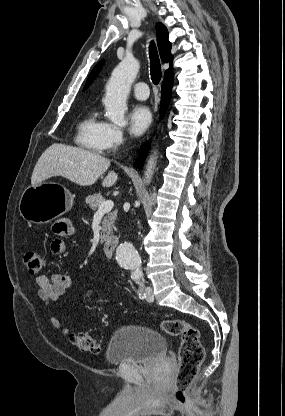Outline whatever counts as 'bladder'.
Listing matches in <instances>:
<instances>
[{"mask_svg": "<svg viewBox=\"0 0 285 416\" xmlns=\"http://www.w3.org/2000/svg\"><path fill=\"white\" fill-rule=\"evenodd\" d=\"M167 355L166 337L150 327L124 325L111 336L106 358L108 363H153Z\"/></svg>", "mask_w": 285, "mask_h": 416, "instance_id": "obj_1", "label": "bladder"}]
</instances>
